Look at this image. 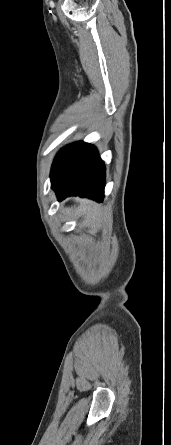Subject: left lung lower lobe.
I'll return each instance as SVG.
<instances>
[{
    "instance_id": "left-lung-lower-lobe-1",
    "label": "left lung lower lobe",
    "mask_w": 171,
    "mask_h": 445,
    "mask_svg": "<svg viewBox=\"0 0 171 445\" xmlns=\"http://www.w3.org/2000/svg\"><path fill=\"white\" fill-rule=\"evenodd\" d=\"M51 186L59 200L79 195L102 201L105 166L93 145L77 142L56 156L50 174Z\"/></svg>"
}]
</instances>
